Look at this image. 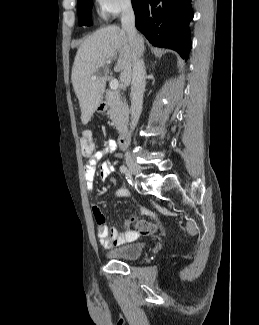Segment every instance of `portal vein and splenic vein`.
Segmentation results:
<instances>
[{
  "mask_svg": "<svg viewBox=\"0 0 259 325\" xmlns=\"http://www.w3.org/2000/svg\"><path fill=\"white\" fill-rule=\"evenodd\" d=\"M106 63H107V64H110L111 61L108 60ZM95 79H96V75L92 76V80H95ZM109 87H110L111 90H116V89H118V87H119V81H118L117 79H112V80L110 81V83H109Z\"/></svg>",
  "mask_w": 259,
  "mask_h": 325,
  "instance_id": "obj_1",
  "label": "portal vein and splenic vein"
}]
</instances>
